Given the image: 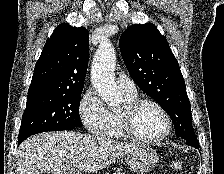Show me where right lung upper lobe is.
Listing matches in <instances>:
<instances>
[{"label":"right lung upper lobe","instance_id":"1","mask_svg":"<svg viewBox=\"0 0 224 174\" xmlns=\"http://www.w3.org/2000/svg\"><path fill=\"white\" fill-rule=\"evenodd\" d=\"M88 56L87 30L60 24L36 63L28 95L82 91Z\"/></svg>","mask_w":224,"mask_h":174}]
</instances>
